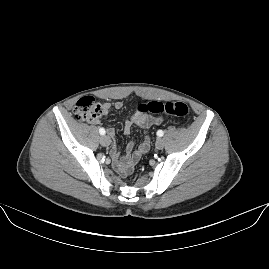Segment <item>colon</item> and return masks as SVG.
<instances>
[{
    "mask_svg": "<svg viewBox=\"0 0 269 269\" xmlns=\"http://www.w3.org/2000/svg\"><path fill=\"white\" fill-rule=\"evenodd\" d=\"M140 112H150L153 114H165L168 116L184 118L188 115L189 109L184 102L180 101H153L149 104H140L138 106ZM74 115L79 121L96 120L103 114V109L99 102L90 96L80 98L73 110ZM130 166L124 168L125 172H129Z\"/></svg>",
    "mask_w": 269,
    "mask_h": 269,
    "instance_id": "1",
    "label": "colon"
}]
</instances>
